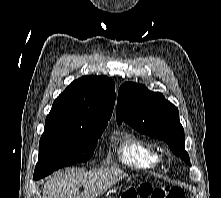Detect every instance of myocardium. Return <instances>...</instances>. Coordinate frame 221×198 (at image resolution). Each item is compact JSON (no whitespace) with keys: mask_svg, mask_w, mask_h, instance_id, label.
Listing matches in <instances>:
<instances>
[{"mask_svg":"<svg viewBox=\"0 0 221 198\" xmlns=\"http://www.w3.org/2000/svg\"><path fill=\"white\" fill-rule=\"evenodd\" d=\"M160 154V158L163 159L164 158V154L162 152H159Z\"/></svg>","mask_w":221,"mask_h":198,"instance_id":"myocardium-1","label":"myocardium"}]
</instances>
